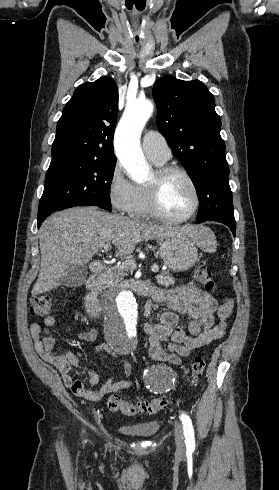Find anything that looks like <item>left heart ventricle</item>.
<instances>
[{"label":"left heart ventricle","mask_w":279,"mask_h":490,"mask_svg":"<svg viewBox=\"0 0 279 490\" xmlns=\"http://www.w3.org/2000/svg\"><path fill=\"white\" fill-rule=\"evenodd\" d=\"M156 172L151 178L153 182ZM161 205L165 212L172 217H182L192 208L194 192L189 182L179 174L169 175L163 182L161 190Z\"/></svg>","instance_id":"b2bd125f"}]
</instances>
